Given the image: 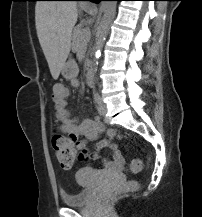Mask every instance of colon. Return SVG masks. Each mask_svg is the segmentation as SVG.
<instances>
[{
	"mask_svg": "<svg viewBox=\"0 0 202 217\" xmlns=\"http://www.w3.org/2000/svg\"><path fill=\"white\" fill-rule=\"evenodd\" d=\"M51 144L59 164L65 169H70L76 160L82 159L85 155L84 150L79 149L69 138L59 133L53 134ZM142 168L143 163L140 159L135 158L130 162V172L138 173L142 170ZM129 187L136 189L137 184L132 182Z\"/></svg>",
	"mask_w": 202,
	"mask_h": 217,
	"instance_id": "obj_1",
	"label": "colon"
}]
</instances>
